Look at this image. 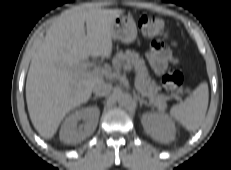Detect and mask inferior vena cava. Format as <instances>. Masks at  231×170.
<instances>
[{"instance_id":"obj_1","label":"inferior vena cava","mask_w":231,"mask_h":170,"mask_svg":"<svg viewBox=\"0 0 231 170\" xmlns=\"http://www.w3.org/2000/svg\"><path fill=\"white\" fill-rule=\"evenodd\" d=\"M112 90V85L104 82H98L93 87V93L96 96H105L109 94Z\"/></svg>"}]
</instances>
